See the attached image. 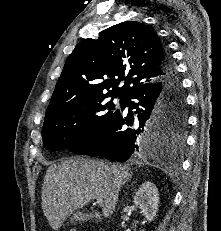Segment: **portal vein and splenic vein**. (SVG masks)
Here are the masks:
<instances>
[{
  "label": "portal vein and splenic vein",
  "instance_id": "obj_1",
  "mask_svg": "<svg viewBox=\"0 0 221 231\" xmlns=\"http://www.w3.org/2000/svg\"><path fill=\"white\" fill-rule=\"evenodd\" d=\"M96 203L99 204V205H101L103 203V200L101 198H97L96 199Z\"/></svg>",
  "mask_w": 221,
  "mask_h": 231
}]
</instances>
